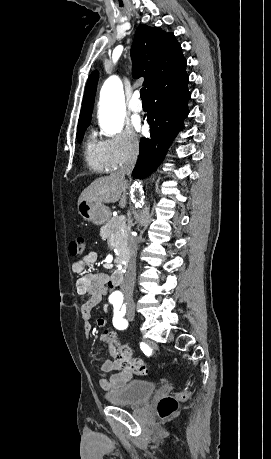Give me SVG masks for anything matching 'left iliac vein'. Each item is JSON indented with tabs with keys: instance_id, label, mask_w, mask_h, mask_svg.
I'll use <instances>...</instances> for the list:
<instances>
[{
	"instance_id": "obj_1",
	"label": "left iliac vein",
	"mask_w": 271,
	"mask_h": 459,
	"mask_svg": "<svg viewBox=\"0 0 271 459\" xmlns=\"http://www.w3.org/2000/svg\"><path fill=\"white\" fill-rule=\"evenodd\" d=\"M127 319L132 321L133 320V312H128L126 315Z\"/></svg>"
}]
</instances>
